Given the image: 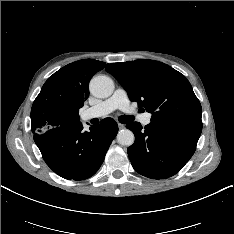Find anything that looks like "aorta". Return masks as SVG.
I'll return each mask as SVG.
<instances>
[{"mask_svg":"<svg viewBox=\"0 0 234 234\" xmlns=\"http://www.w3.org/2000/svg\"><path fill=\"white\" fill-rule=\"evenodd\" d=\"M90 91L98 98H107L114 91V83L108 76H96L90 82ZM134 140L133 132L128 129L120 130L117 134V142L122 146H131Z\"/></svg>","mask_w":234,"mask_h":234,"instance_id":"obj_1","label":"aorta"}]
</instances>
